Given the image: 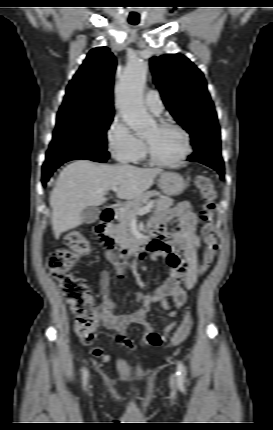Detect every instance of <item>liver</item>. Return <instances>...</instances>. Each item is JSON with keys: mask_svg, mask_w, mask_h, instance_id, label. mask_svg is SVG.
I'll use <instances>...</instances> for the list:
<instances>
[{"mask_svg": "<svg viewBox=\"0 0 273 430\" xmlns=\"http://www.w3.org/2000/svg\"><path fill=\"white\" fill-rule=\"evenodd\" d=\"M162 172L158 168L106 165L84 159L67 165L60 172L50 195L55 238L79 226L83 221L84 209L102 205L112 187L119 186L118 198L135 200L152 186L154 178Z\"/></svg>", "mask_w": 273, "mask_h": 430, "instance_id": "1", "label": "liver"}]
</instances>
